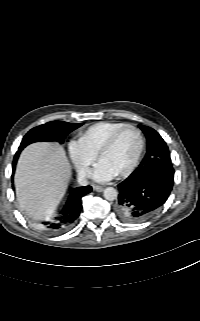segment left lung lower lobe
<instances>
[{
	"mask_svg": "<svg viewBox=\"0 0 200 321\" xmlns=\"http://www.w3.org/2000/svg\"><path fill=\"white\" fill-rule=\"evenodd\" d=\"M174 184L172 165L139 166L118 184L116 213L126 223H138L149 218L169 197Z\"/></svg>",
	"mask_w": 200,
	"mask_h": 321,
	"instance_id": "left-lung-lower-lobe-1",
	"label": "left lung lower lobe"
}]
</instances>
